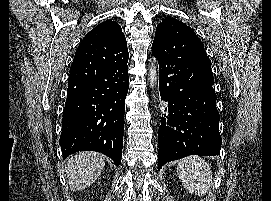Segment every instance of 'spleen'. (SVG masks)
I'll use <instances>...</instances> for the list:
<instances>
[{
  "label": "spleen",
  "instance_id": "1",
  "mask_svg": "<svg viewBox=\"0 0 271 201\" xmlns=\"http://www.w3.org/2000/svg\"><path fill=\"white\" fill-rule=\"evenodd\" d=\"M177 174L189 194L203 197L213 185L211 167L200 156L191 155L179 160Z\"/></svg>",
  "mask_w": 271,
  "mask_h": 201
}]
</instances>
